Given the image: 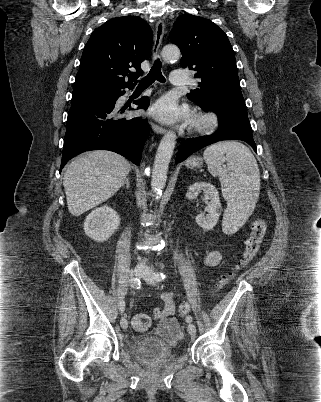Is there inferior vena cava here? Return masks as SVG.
I'll return each mask as SVG.
<instances>
[{
  "instance_id": "obj_1",
  "label": "inferior vena cava",
  "mask_w": 321,
  "mask_h": 402,
  "mask_svg": "<svg viewBox=\"0 0 321 402\" xmlns=\"http://www.w3.org/2000/svg\"><path fill=\"white\" fill-rule=\"evenodd\" d=\"M138 266H145V264H144L143 262H140V263L138 264Z\"/></svg>"
}]
</instances>
